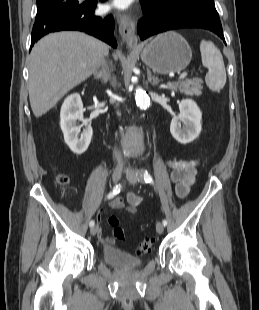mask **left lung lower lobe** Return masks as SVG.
<instances>
[{
  "label": "left lung lower lobe",
  "instance_id": "obj_1",
  "mask_svg": "<svg viewBox=\"0 0 259 310\" xmlns=\"http://www.w3.org/2000/svg\"><path fill=\"white\" fill-rule=\"evenodd\" d=\"M140 1L144 16L138 22L137 29L141 40L172 29L203 28L214 32L225 42L215 6L196 4L160 13L148 2Z\"/></svg>",
  "mask_w": 259,
  "mask_h": 310
}]
</instances>
